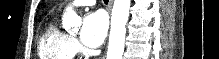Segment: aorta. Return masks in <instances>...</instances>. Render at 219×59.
Wrapping results in <instances>:
<instances>
[{
    "mask_svg": "<svg viewBox=\"0 0 219 59\" xmlns=\"http://www.w3.org/2000/svg\"><path fill=\"white\" fill-rule=\"evenodd\" d=\"M131 0H114L111 16V29L107 59H122L125 47L126 23L129 18ZM65 29L77 31L80 24L79 17L75 11L68 7L62 20Z\"/></svg>",
    "mask_w": 219,
    "mask_h": 59,
    "instance_id": "1",
    "label": "aorta"
}]
</instances>
